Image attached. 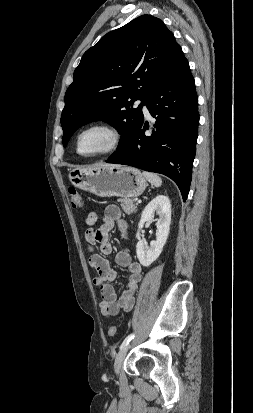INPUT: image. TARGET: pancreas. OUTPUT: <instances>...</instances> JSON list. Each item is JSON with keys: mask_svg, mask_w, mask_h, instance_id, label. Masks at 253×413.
Instances as JSON below:
<instances>
[{"mask_svg": "<svg viewBox=\"0 0 253 413\" xmlns=\"http://www.w3.org/2000/svg\"><path fill=\"white\" fill-rule=\"evenodd\" d=\"M118 202L121 203V207L126 214L134 213L137 206L134 204V200L131 198H120Z\"/></svg>", "mask_w": 253, "mask_h": 413, "instance_id": "cf45deb5", "label": "pancreas"}]
</instances>
